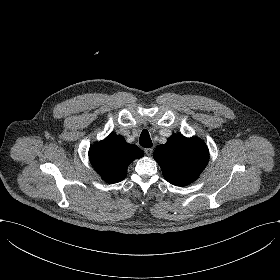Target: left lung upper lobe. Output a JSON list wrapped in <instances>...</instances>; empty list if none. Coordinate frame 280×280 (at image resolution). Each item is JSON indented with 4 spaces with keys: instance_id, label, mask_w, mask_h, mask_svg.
I'll use <instances>...</instances> for the list:
<instances>
[{
    "instance_id": "5c2ea615",
    "label": "left lung upper lobe",
    "mask_w": 280,
    "mask_h": 280,
    "mask_svg": "<svg viewBox=\"0 0 280 280\" xmlns=\"http://www.w3.org/2000/svg\"><path fill=\"white\" fill-rule=\"evenodd\" d=\"M153 157L169 183L185 186L195 181L206 167L209 151L199 138L173 134L166 144L156 147Z\"/></svg>"
}]
</instances>
